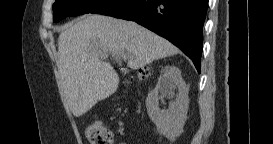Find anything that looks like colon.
<instances>
[{"label": "colon", "mask_w": 273, "mask_h": 144, "mask_svg": "<svg viewBox=\"0 0 273 144\" xmlns=\"http://www.w3.org/2000/svg\"><path fill=\"white\" fill-rule=\"evenodd\" d=\"M148 74L146 70L140 71L137 78H145ZM86 135L91 144H110L113 140L112 132L101 122L91 123L87 127Z\"/></svg>", "instance_id": "obj_1"}]
</instances>
